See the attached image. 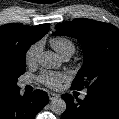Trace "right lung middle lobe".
I'll list each match as a JSON object with an SVG mask.
<instances>
[{
    "label": "right lung middle lobe",
    "instance_id": "right-lung-middle-lobe-1",
    "mask_svg": "<svg viewBox=\"0 0 119 119\" xmlns=\"http://www.w3.org/2000/svg\"><path fill=\"white\" fill-rule=\"evenodd\" d=\"M29 47V44H22L18 47H13L11 50L10 60L7 63L4 75L14 83L25 72V55Z\"/></svg>",
    "mask_w": 119,
    "mask_h": 119
}]
</instances>
